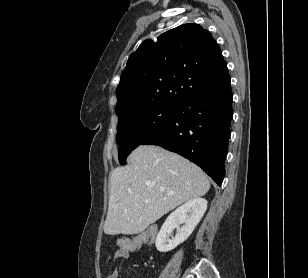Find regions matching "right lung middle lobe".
<instances>
[{
    "instance_id": "obj_1",
    "label": "right lung middle lobe",
    "mask_w": 308,
    "mask_h": 278,
    "mask_svg": "<svg viewBox=\"0 0 308 278\" xmlns=\"http://www.w3.org/2000/svg\"><path fill=\"white\" fill-rule=\"evenodd\" d=\"M177 113L178 105H155L120 120L117 131V142L121 146L118 152L120 164H126L131 151L172 122Z\"/></svg>"
}]
</instances>
